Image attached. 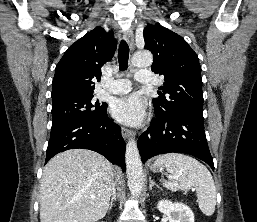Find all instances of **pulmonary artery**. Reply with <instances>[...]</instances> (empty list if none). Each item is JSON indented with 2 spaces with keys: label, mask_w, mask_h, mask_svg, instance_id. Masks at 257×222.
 Returning a JSON list of instances; mask_svg holds the SVG:
<instances>
[{
  "label": "pulmonary artery",
  "mask_w": 257,
  "mask_h": 222,
  "mask_svg": "<svg viewBox=\"0 0 257 222\" xmlns=\"http://www.w3.org/2000/svg\"><path fill=\"white\" fill-rule=\"evenodd\" d=\"M135 79L141 84H151L152 74L149 71H139ZM131 89V83L129 80L120 79L112 82L108 87V92L112 94H123Z\"/></svg>",
  "instance_id": "obj_1"
}]
</instances>
